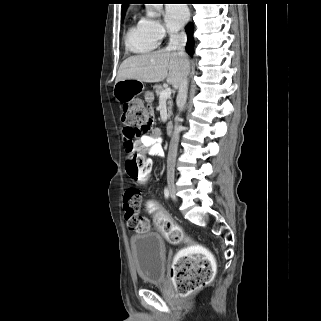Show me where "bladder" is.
Here are the masks:
<instances>
[{"instance_id": "obj_1", "label": "bladder", "mask_w": 321, "mask_h": 321, "mask_svg": "<svg viewBox=\"0 0 321 321\" xmlns=\"http://www.w3.org/2000/svg\"><path fill=\"white\" fill-rule=\"evenodd\" d=\"M130 248L139 277L149 284H160L165 275L166 250L160 234L144 232L130 238Z\"/></svg>"}]
</instances>
